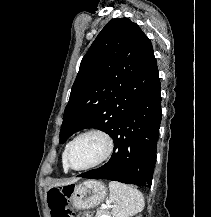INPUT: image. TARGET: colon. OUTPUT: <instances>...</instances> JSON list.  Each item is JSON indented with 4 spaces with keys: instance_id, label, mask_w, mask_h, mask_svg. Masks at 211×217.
I'll return each instance as SVG.
<instances>
[{
    "instance_id": "1",
    "label": "colon",
    "mask_w": 211,
    "mask_h": 217,
    "mask_svg": "<svg viewBox=\"0 0 211 217\" xmlns=\"http://www.w3.org/2000/svg\"><path fill=\"white\" fill-rule=\"evenodd\" d=\"M73 192L70 186L54 188L48 192L47 200L51 217H71L68 207V199ZM80 217H92L91 213H85Z\"/></svg>"
}]
</instances>
